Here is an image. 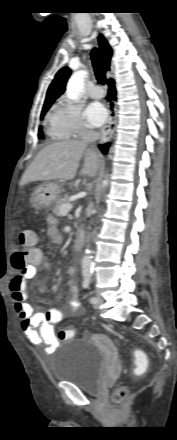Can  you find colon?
<instances>
[{
	"label": "colon",
	"instance_id": "1",
	"mask_svg": "<svg viewBox=\"0 0 177 440\" xmlns=\"http://www.w3.org/2000/svg\"><path fill=\"white\" fill-rule=\"evenodd\" d=\"M36 242V235L33 231L24 230L17 234L14 241L13 254H12V265L18 270H23L27 266L33 263V261L38 257V252L34 248ZM74 330L72 327L66 326L59 330L58 339L60 341H66L73 338ZM136 358L138 362V372L140 373L146 362L143 355L136 352ZM125 391L120 390L116 395V399L120 400L124 397Z\"/></svg>",
	"mask_w": 177,
	"mask_h": 440
}]
</instances>
